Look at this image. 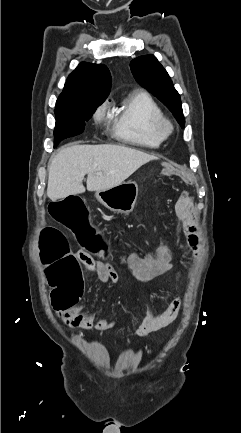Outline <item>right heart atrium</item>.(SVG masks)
Instances as JSON below:
<instances>
[{"label":"right heart atrium","instance_id":"right-heart-atrium-1","mask_svg":"<svg viewBox=\"0 0 241 433\" xmlns=\"http://www.w3.org/2000/svg\"><path fill=\"white\" fill-rule=\"evenodd\" d=\"M106 110H107L106 105H101L100 107H98L94 113V119L97 122L103 121L106 117Z\"/></svg>","mask_w":241,"mask_h":433}]
</instances>
